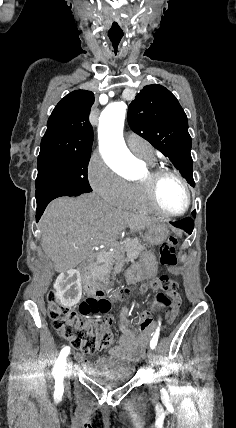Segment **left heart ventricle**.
Wrapping results in <instances>:
<instances>
[{"mask_svg":"<svg viewBox=\"0 0 236 428\" xmlns=\"http://www.w3.org/2000/svg\"><path fill=\"white\" fill-rule=\"evenodd\" d=\"M159 194L163 205L169 210H181L186 204L184 187L178 180L172 177H167L161 182Z\"/></svg>","mask_w":236,"mask_h":428,"instance_id":"b2bd125f","label":"left heart ventricle"}]
</instances>
